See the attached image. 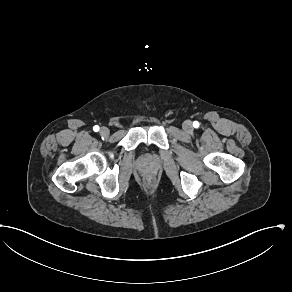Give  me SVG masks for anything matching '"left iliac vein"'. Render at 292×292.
<instances>
[{"mask_svg":"<svg viewBox=\"0 0 292 292\" xmlns=\"http://www.w3.org/2000/svg\"><path fill=\"white\" fill-rule=\"evenodd\" d=\"M183 130L186 132H191L193 130V124L191 121L187 120L183 123Z\"/></svg>","mask_w":292,"mask_h":292,"instance_id":"left-iliac-vein-1","label":"left iliac vein"}]
</instances>
